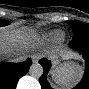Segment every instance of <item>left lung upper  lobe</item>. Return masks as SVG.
Segmentation results:
<instances>
[{"mask_svg":"<svg viewBox=\"0 0 89 89\" xmlns=\"http://www.w3.org/2000/svg\"><path fill=\"white\" fill-rule=\"evenodd\" d=\"M67 23L72 28L74 35L84 33L89 34V24L81 22V21H67Z\"/></svg>","mask_w":89,"mask_h":89,"instance_id":"obj_1","label":"left lung upper lobe"}]
</instances>
